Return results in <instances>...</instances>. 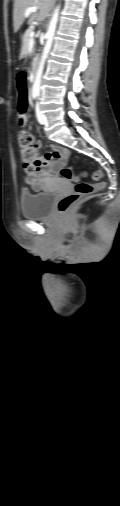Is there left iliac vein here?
Instances as JSON below:
<instances>
[{"instance_id": "left-iliac-vein-1", "label": "left iliac vein", "mask_w": 120, "mask_h": 506, "mask_svg": "<svg viewBox=\"0 0 120 506\" xmlns=\"http://www.w3.org/2000/svg\"><path fill=\"white\" fill-rule=\"evenodd\" d=\"M36 117L40 124H45L46 120L44 115L41 112L39 104L36 105Z\"/></svg>"}]
</instances>
